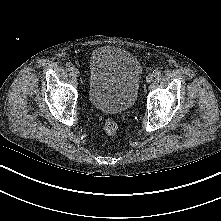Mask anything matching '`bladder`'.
Segmentation results:
<instances>
[{"label": "bladder", "mask_w": 221, "mask_h": 221, "mask_svg": "<svg viewBox=\"0 0 221 221\" xmlns=\"http://www.w3.org/2000/svg\"><path fill=\"white\" fill-rule=\"evenodd\" d=\"M142 75V66L131 52L115 46L97 48L89 62L90 105L107 114L127 111L137 100Z\"/></svg>", "instance_id": "obj_1"}]
</instances>
